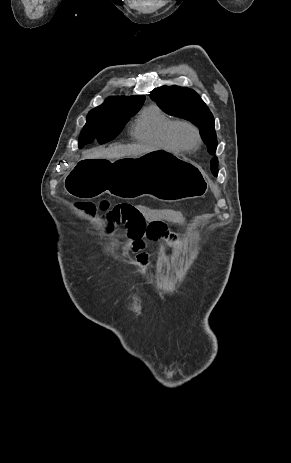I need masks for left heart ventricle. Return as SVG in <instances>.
<instances>
[{
	"mask_svg": "<svg viewBox=\"0 0 291 463\" xmlns=\"http://www.w3.org/2000/svg\"><path fill=\"white\" fill-rule=\"evenodd\" d=\"M180 141L186 146H192L195 143V137L192 131L186 127H182L178 131Z\"/></svg>",
	"mask_w": 291,
	"mask_h": 463,
	"instance_id": "left-heart-ventricle-1",
	"label": "left heart ventricle"
}]
</instances>
